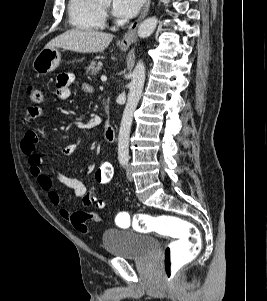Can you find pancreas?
Listing matches in <instances>:
<instances>
[{
	"label": "pancreas",
	"mask_w": 267,
	"mask_h": 301,
	"mask_svg": "<svg viewBox=\"0 0 267 301\" xmlns=\"http://www.w3.org/2000/svg\"><path fill=\"white\" fill-rule=\"evenodd\" d=\"M101 66V62L92 61L90 65L86 67V74L88 75V78L91 79V77L97 75L101 69Z\"/></svg>",
	"instance_id": "1"
}]
</instances>
